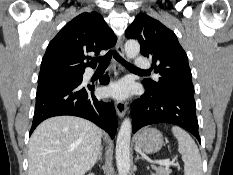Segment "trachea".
Masks as SVG:
<instances>
[{
  "mask_svg": "<svg viewBox=\"0 0 233 175\" xmlns=\"http://www.w3.org/2000/svg\"><path fill=\"white\" fill-rule=\"evenodd\" d=\"M112 55L128 69L141 71V72H144V73H149V71L139 69V68L135 67L133 64L125 61L123 58H121L119 56V54L116 51H109L105 56L98 57V58H93L92 60H95V61L99 62V67H107L110 60H111V58H112Z\"/></svg>",
  "mask_w": 233,
  "mask_h": 175,
  "instance_id": "1",
  "label": "trachea"
}]
</instances>
